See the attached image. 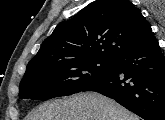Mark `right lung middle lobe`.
I'll use <instances>...</instances> for the list:
<instances>
[{
  "instance_id": "right-lung-middle-lobe-1",
  "label": "right lung middle lobe",
  "mask_w": 165,
  "mask_h": 120,
  "mask_svg": "<svg viewBox=\"0 0 165 120\" xmlns=\"http://www.w3.org/2000/svg\"><path fill=\"white\" fill-rule=\"evenodd\" d=\"M113 61L75 58L28 66L19 87V97L48 100L82 91L108 75Z\"/></svg>"
}]
</instances>
